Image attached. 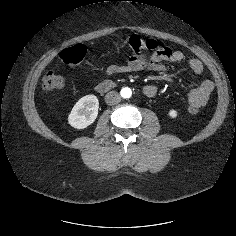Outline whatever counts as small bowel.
Returning a JSON list of instances; mask_svg holds the SVG:
<instances>
[{"label":"small bowel","mask_w":236,"mask_h":236,"mask_svg":"<svg viewBox=\"0 0 236 236\" xmlns=\"http://www.w3.org/2000/svg\"><path fill=\"white\" fill-rule=\"evenodd\" d=\"M163 61H168L173 64H182L185 62V55L178 50H173L170 47H165L162 52L152 54L150 57L145 55H133L127 60H119L108 66L104 70L106 76H111L118 73L153 71L163 72L165 66ZM188 68L196 75L202 74L203 64L195 58L186 61ZM214 90V84L209 79L202 80L199 85L192 88L188 93L189 108L197 109L205 106ZM157 92V88L153 84H148L144 87V94L147 97H153Z\"/></svg>","instance_id":"small-bowel-1"}]
</instances>
